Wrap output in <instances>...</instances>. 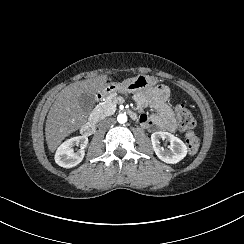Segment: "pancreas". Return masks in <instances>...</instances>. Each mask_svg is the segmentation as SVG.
<instances>
[{
    "mask_svg": "<svg viewBox=\"0 0 244 244\" xmlns=\"http://www.w3.org/2000/svg\"><path fill=\"white\" fill-rule=\"evenodd\" d=\"M114 106H115L114 99L107 98V100L102 105L98 106V108L102 109L105 112H108L110 108Z\"/></svg>",
    "mask_w": 244,
    "mask_h": 244,
    "instance_id": "1",
    "label": "pancreas"
}]
</instances>
